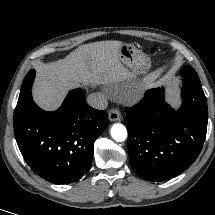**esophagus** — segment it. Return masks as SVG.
<instances>
[{
    "mask_svg": "<svg viewBox=\"0 0 215 215\" xmlns=\"http://www.w3.org/2000/svg\"><path fill=\"white\" fill-rule=\"evenodd\" d=\"M109 120L110 121H120L121 120V113H120V111L118 110V109H111L110 111H109Z\"/></svg>",
    "mask_w": 215,
    "mask_h": 215,
    "instance_id": "34e87169",
    "label": "esophagus"
}]
</instances>
